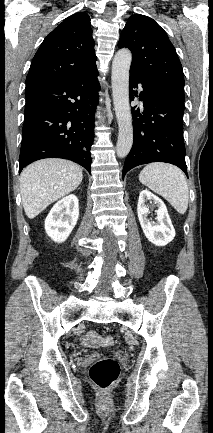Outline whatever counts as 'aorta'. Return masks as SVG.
<instances>
[{
    "label": "aorta",
    "mask_w": 213,
    "mask_h": 433,
    "mask_svg": "<svg viewBox=\"0 0 213 433\" xmlns=\"http://www.w3.org/2000/svg\"><path fill=\"white\" fill-rule=\"evenodd\" d=\"M132 54L128 49H120L112 62V95L119 133L116 153L126 157L133 145L132 115L129 105V71Z\"/></svg>",
    "instance_id": "762f6f07"
}]
</instances>
